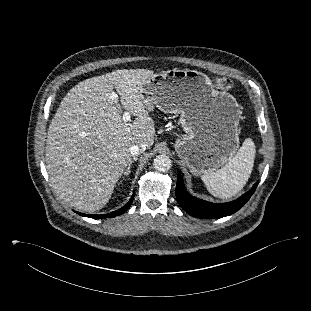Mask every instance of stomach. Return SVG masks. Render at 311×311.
<instances>
[{
  "label": "stomach",
  "instance_id": "1",
  "mask_svg": "<svg viewBox=\"0 0 311 311\" xmlns=\"http://www.w3.org/2000/svg\"><path fill=\"white\" fill-rule=\"evenodd\" d=\"M142 94L150 109L180 114L185 134L174 147L192 174L215 171L236 155L241 110L235 98L215 90L204 73L173 69L154 74Z\"/></svg>",
  "mask_w": 311,
  "mask_h": 311
}]
</instances>
